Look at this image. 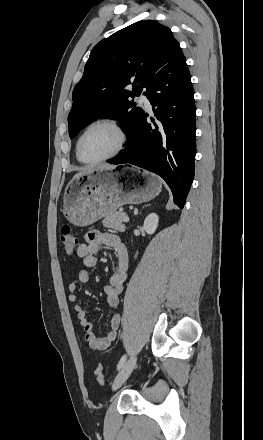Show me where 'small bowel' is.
I'll use <instances>...</instances> for the list:
<instances>
[{
	"mask_svg": "<svg viewBox=\"0 0 263 440\" xmlns=\"http://www.w3.org/2000/svg\"><path fill=\"white\" fill-rule=\"evenodd\" d=\"M102 246L112 248L116 254L113 271L108 284L105 286V295L107 305L114 310L118 308L120 295L129 270V260L125 243L115 234L97 230L86 233L85 241L76 248V254L83 261L86 269L80 271L77 278L73 279L68 287V298L74 304V310L84 330L85 339L89 347L94 350L107 348L115 340L117 329L121 324V316L115 313L111 319V329L104 336H97L95 333V323L90 319L78 298V284L90 281V273L87 269L96 267L97 259L95 255Z\"/></svg>",
	"mask_w": 263,
	"mask_h": 440,
	"instance_id": "obj_1",
	"label": "small bowel"
}]
</instances>
